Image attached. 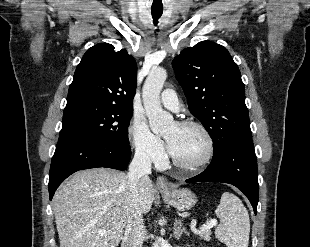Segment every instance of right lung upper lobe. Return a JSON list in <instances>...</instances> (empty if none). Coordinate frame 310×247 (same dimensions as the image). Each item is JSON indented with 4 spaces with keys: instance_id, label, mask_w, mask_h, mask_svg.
Here are the masks:
<instances>
[{
    "instance_id": "cb5924a9",
    "label": "right lung upper lobe",
    "mask_w": 310,
    "mask_h": 247,
    "mask_svg": "<svg viewBox=\"0 0 310 247\" xmlns=\"http://www.w3.org/2000/svg\"><path fill=\"white\" fill-rule=\"evenodd\" d=\"M137 65L125 49L108 43L87 50L74 73L64 110L76 107L133 110Z\"/></svg>"
}]
</instances>
